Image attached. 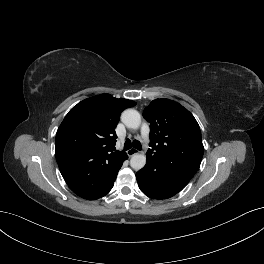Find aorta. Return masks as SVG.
<instances>
[{"label":"aorta","mask_w":264,"mask_h":264,"mask_svg":"<svg viewBox=\"0 0 264 264\" xmlns=\"http://www.w3.org/2000/svg\"><path fill=\"white\" fill-rule=\"evenodd\" d=\"M122 122L131 129H138L141 124V117L134 109H126L121 114ZM146 164V156L144 154H135L130 159V166L135 170L142 169Z\"/></svg>","instance_id":"1"}]
</instances>
